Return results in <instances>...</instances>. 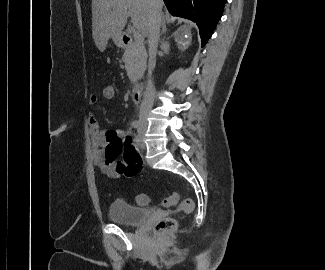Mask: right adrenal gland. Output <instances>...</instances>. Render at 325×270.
<instances>
[{
	"mask_svg": "<svg viewBox=\"0 0 325 270\" xmlns=\"http://www.w3.org/2000/svg\"><path fill=\"white\" fill-rule=\"evenodd\" d=\"M166 31V21H165V17H162V32L161 34L165 33Z\"/></svg>",
	"mask_w": 325,
	"mask_h": 270,
	"instance_id": "obj_1",
	"label": "right adrenal gland"
}]
</instances>
